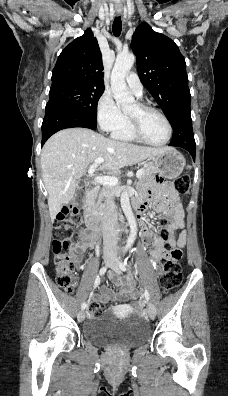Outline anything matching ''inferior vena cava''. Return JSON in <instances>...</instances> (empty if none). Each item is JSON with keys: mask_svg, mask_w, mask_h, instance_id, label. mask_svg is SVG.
<instances>
[{"mask_svg": "<svg viewBox=\"0 0 228 396\" xmlns=\"http://www.w3.org/2000/svg\"><path fill=\"white\" fill-rule=\"evenodd\" d=\"M105 223L103 226V250L104 254H116L118 236L114 225L117 220L115 203L110 198L106 204Z\"/></svg>", "mask_w": 228, "mask_h": 396, "instance_id": "602c4592", "label": "inferior vena cava"}]
</instances>
